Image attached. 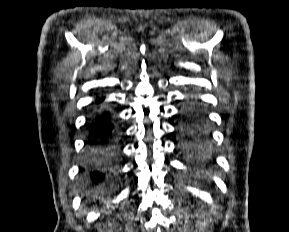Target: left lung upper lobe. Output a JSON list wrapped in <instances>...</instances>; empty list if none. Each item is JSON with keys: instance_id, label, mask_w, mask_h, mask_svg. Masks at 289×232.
I'll return each instance as SVG.
<instances>
[{"instance_id": "left-lung-upper-lobe-1", "label": "left lung upper lobe", "mask_w": 289, "mask_h": 232, "mask_svg": "<svg viewBox=\"0 0 289 232\" xmlns=\"http://www.w3.org/2000/svg\"><path fill=\"white\" fill-rule=\"evenodd\" d=\"M181 131L187 149L198 153H204L208 150L210 134L203 125L185 118Z\"/></svg>"}]
</instances>
